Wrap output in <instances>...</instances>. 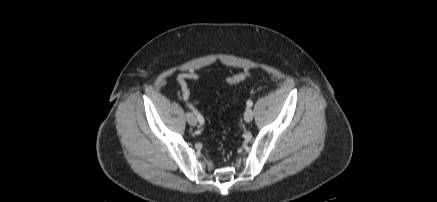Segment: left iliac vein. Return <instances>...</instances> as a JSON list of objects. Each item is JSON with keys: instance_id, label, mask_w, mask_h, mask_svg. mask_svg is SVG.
Returning <instances> with one entry per match:
<instances>
[{"instance_id": "obj_1", "label": "left iliac vein", "mask_w": 437, "mask_h": 202, "mask_svg": "<svg viewBox=\"0 0 437 202\" xmlns=\"http://www.w3.org/2000/svg\"><path fill=\"white\" fill-rule=\"evenodd\" d=\"M252 119H253V111L250 108H248L244 113V120L246 122H250L252 121Z\"/></svg>"}]
</instances>
